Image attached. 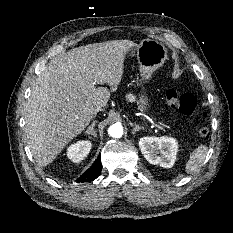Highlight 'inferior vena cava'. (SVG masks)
<instances>
[{"label":"inferior vena cava","mask_w":233,"mask_h":233,"mask_svg":"<svg viewBox=\"0 0 233 233\" xmlns=\"http://www.w3.org/2000/svg\"><path fill=\"white\" fill-rule=\"evenodd\" d=\"M102 110V108L101 107H96V108H94V114H97V112H99V111H101Z\"/></svg>","instance_id":"1"}]
</instances>
